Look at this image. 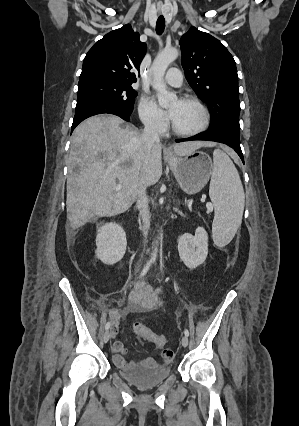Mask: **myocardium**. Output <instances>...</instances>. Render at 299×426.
Returning <instances> with one entry per match:
<instances>
[{
	"label": "myocardium",
	"mask_w": 299,
	"mask_h": 426,
	"mask_svg": "<svg viewBox=\"0 0 299 426\" xmlns=\"http://www.w3.org/2000/svg\"><path fill=\"white\" fill-rule=\"evenodd\" d=\"M181 101L184 102H191L194 103L195 105H197L202 113V122L201 124L193 129V130H180L178 129L173 122L171 123V129L173 131V133H175L176 135L179 136H183V137H192V136H196L199 135L201 133H203L204 131H206L210 125L211 122V115L210 112L207 108V106L203 103V101L201 99H199L196 96H192V95H186L184 97L181 98Z\"/></svg>",
	"instance_id": "1"
}]
</instances>
